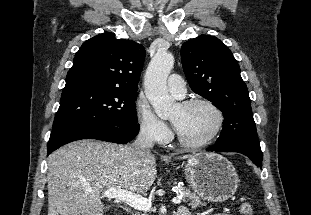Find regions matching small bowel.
Instances as JSON below:
<instances>
[{"label": "small bowel", "instance_id": "1", "mask_svg": "<svg viewBox=\"0 0 311 215\" xmlns=\"http://www.w3.org/2000/svg\"><path fill=\"white\" fill-rule=\"evenodd\" d=\"M179 213H181V215H191L190 211L187 208H181L179 210ZM215 215H228V214L219 213Z\"/></svg>", "mask_w": 311, "mask_h": 215}]
</instances>
